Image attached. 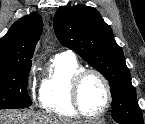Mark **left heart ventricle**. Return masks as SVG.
<instances>
[{
  "label": "left heart ventricle",
  "instance_id": "obj_1",
  "mask_svg": "<svg viewBox=\"0 0 145 124\" xmlns=\"http://www.w3.org/2000/svg\"><path fill=\"white\" fill-rule=\"evenodd\" d=\"M106 91L102 82L95 76H89L81 88V103L83 110L95 114L102 110L106 103Z\"/></svg>",
  "mask_w": 145,
  "mask_h": 124
}]
</instances>
